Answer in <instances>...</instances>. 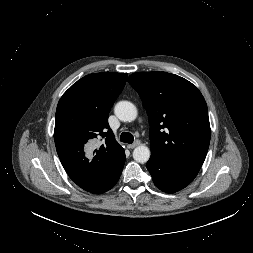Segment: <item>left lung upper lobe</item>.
Segmentation results:
<instances>
[{
	"label": "left lung upper lobe",
	"mask_w": 253,
	"mask_h": 253,
	"mask_svg": "<svg viewBox=\"0 0 253 253\" xmlns=\"http://www.w3.org/2000/svg\"><path fill=\"white\" fill-rule=\"evenodd\" d=\"M128 82L149 118L151 152L198 173L210 143L207 104L196 86L167 72H138Z\"/></svg>",
	"instance_id": "1"
}]
</instances>
